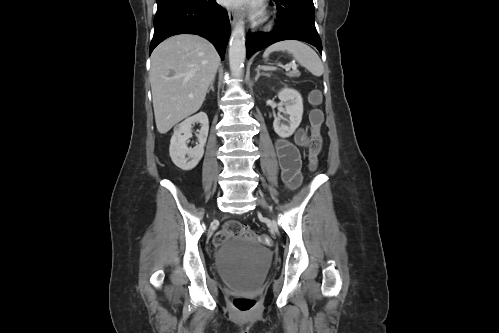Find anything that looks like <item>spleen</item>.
<instances>
[{
    "mask_svg": "<svg viewBox=\"0 0 499 333\" xmlns=\"http://www.w3.org/2000/svg\"><path fill=\"white\" fill-rule=\"evenodd\" d=\"M275 51L288 52L301 66L305 67L315 76H321L324 72L323 63L317 53L300 41L285 40L277 42L264 51L263 57L268 58Z\"/></svg>",
    "mask_w": 499,
    "mask_h": 333,
    "instance_id": "obj_1",
    "label": "spleen"
}]
</instances>
